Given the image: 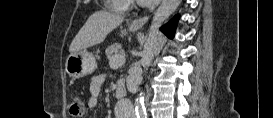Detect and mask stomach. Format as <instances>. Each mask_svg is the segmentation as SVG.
<instances>
[{"label": "stomach", "instance_id": "obj_1", "mask_svg": "<svg viewBox=\"0 0 273 118\" xmlns=\"http://www.w3.org/2000/svg\"><path fill=\"white\" fill-rule=\"evenodd\" d=\"M131 30L136 28L131 27ZM97 68V63L94 55L87 50H81L76 53H71L65 64V70L73 79L85 77L94 72Z\"/></svg>", "mask_w": 273, "mask_h": 118}]
</instances>
